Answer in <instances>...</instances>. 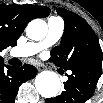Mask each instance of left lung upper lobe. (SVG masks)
<instances>
[{
  "mask_svg": "<svg viewBox=\"0 0 103 103\" xmlns=\"http://www.w3.org/2000/svg\"><path fill=\"white\" fill-rule=\"evenodd\" d=\"M57 13L64 18L65 28L60 45L51 51L50 61L68 70L89 59H103L98 38L83 18L63 8Z\"/></svg>",
  "mask_w": 103,
  "mask_h": 103,
  "instance_id": "1",
  "label": "left lung upper lobe"
}]
</instances>
